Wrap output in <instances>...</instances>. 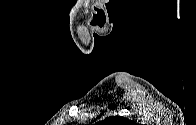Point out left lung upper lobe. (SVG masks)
Segmentation results:
<instances>
[{
	"instance_id": "1",
	"label": "left lung upper lobe",
	"mask_w": 196,
	"mask_h": 125,
	"mask_svg": "<svg viewBox=\"0 0 196 125\" xmlns=\"http://www.w3.org/2000/svg\"><path fill=\"white\" fill-rule=\"evenodd\" d=\"M102 125H131L132 121L120 116L108 117L101 121Z\"/></svg>"
}]
</instances>
